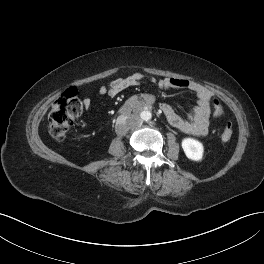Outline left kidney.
<instances>
[{"label":"left kidney","instance_id":"left-kidney-1","mask_svg":"<svg viewBox=\"0 0 264 264\" xmlns=\"http://www.w3.org/2000/svg\"><path fill=\"white\" fill-rule=\"evenodd\" d=\"M182 148L187 158L193 161H200L203 157V144L192 138H185L182 140Z\"/></svg>","mask_w":264,"mask_h":264}]
</instances>
